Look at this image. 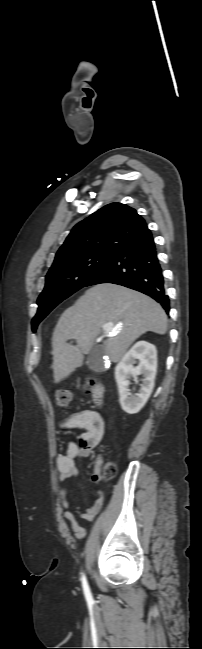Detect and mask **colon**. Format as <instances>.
Segmentation results:
<instances>
[{
  "label": "colon",
  "instance_id": "5ec220e1",
  "mask_svg": "<svg viewBox=\"0 0 202 649\" xmlns=\"http://www.w3.org/2000/svg\"><path fill=\"white\" fill-rule=\"evenodd\" d=\"M93 384V382L88 383L86 389L90 390L93 387ZM54 396L57 405L60 407H68L71 403V392L68 389H57ZM95 466L100 468L101 473L105 478H112L116 473V466L114 463L107 461L100 456L95 459Z\"/></svg>",
  "mask_w": 202,
  "mask_h": 649
}]
</instances>
